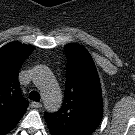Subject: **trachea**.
<instances>
[{"mask_svg":"<svg viewBox=\"0 0 135 135\" xmlns=\"http://www.w3.org/2000/svg\"><path fill=\"white\" fill-rule=\"evenodd\" d=\"M29 99H31V100H33V101L39 102V101H40V95H39L38 92L32 91V92L29 94Z\"/></svg>","mask_w":135,"mask_h":135,"instance_id":"trachea-1","label":"trachea"}]
</instances>
